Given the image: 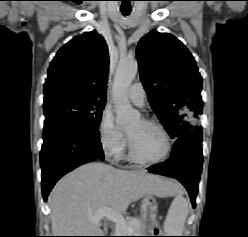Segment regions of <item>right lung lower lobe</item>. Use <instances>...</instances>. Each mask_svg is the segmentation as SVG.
Returning <instances> with one entry per match:
<instances>
[{"instance_id":"right-lung-lower-lobe-1","label":"right lung lower lobe","mask_w":248,"mask_h":237,"mask_svg":"<svg viewBox=\"0 0 248 237\" xmlns=\"http://www.w3.org/2000/svg\"><path fill=\"white\" fill-rule=\"evenodd\" d=\"M98 133V130L44 126L40 155L44 201L63 175L84 163L104 159Z\"/></svg>"}]
</instances>
